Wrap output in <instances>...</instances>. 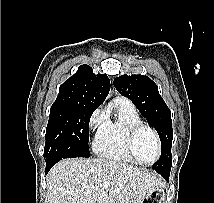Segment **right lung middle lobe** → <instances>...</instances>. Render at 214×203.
Returning <instances> with one entry per match:
<instances>
[{
    "mask_svg": "<svg viewBox=\"0 0 214 203\" xmlns=\"http://www.w3.org/2000/svg\"><path fill=\"white\" fill-rule=\"evenodd\" d=\"M95 106L54 103L46 128L44 159L57 163L64 158L89 157V121Z\"/></svg>",
    "mask_w": 214,
    "mask_h": 203,
    "instance_id": "right-lung-middle-lobe-1",
    "label": "right lung middle lobe"
}]
</instances>
